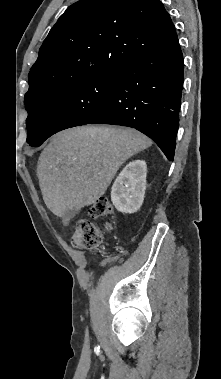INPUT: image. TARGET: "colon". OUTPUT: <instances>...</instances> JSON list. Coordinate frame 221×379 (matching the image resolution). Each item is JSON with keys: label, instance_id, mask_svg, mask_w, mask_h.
<instances>
[{"label": "colon", "instance_id": "colon-1", "mask_svg": "<svg viewBox=\"0 0 221 379\" xmlns=\"http://www.w3.org/2000/svg\"><path fill=\"white\" fill-rule=\"evenodd\" d=\"M113 213V208L107 199L101 198L90 208L92 217H107ZM110 225L107 224L106 228ZM103 229L100 225L88 220L80 219L75 225L72 234V244L76 248L86 249L97 246L102 239Z\"/></svg>", "mask_w": 221, "mask_h": 379}]
</instances>
